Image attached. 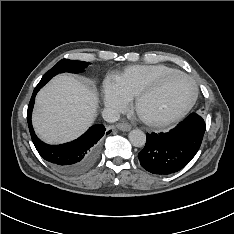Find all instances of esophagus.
<instances>
[{"mask_svg": "<svg viewBox=\"0 0 234 234\" xmlns=\"http://www.w3.org/2000/svg\"><path fill=\"white\" fill-rule=\"evenodd\" d=\"M116 127L121 131H129L131 129V125L128 123H118Z\"/></svg>", "mask_w": 234, "mask_h": 234, "instance_id": "obj_1", "label": "esophagus"}]
</instances>
